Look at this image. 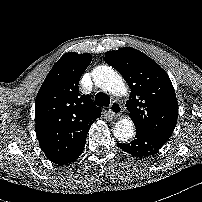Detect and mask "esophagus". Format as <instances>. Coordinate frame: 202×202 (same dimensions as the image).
Masks as SVG:
<instances>
[{"mask_svg": "<svg viewBox=\"0 0 202 202\" xmlns=\"http://www.w3.org/2000/svg\"><path fill=\"white\" fill-rule=\"evenodd\" d=\"M108 111L113 115H120V112L122 111V107L120 105V103H118L117 101H113L111 103V105L108 108Z\"/></svg>", "mask_w": 202, "mask_h": 202, "instance_id": "obj_1", "label": "esophagus"}]
</instances>
